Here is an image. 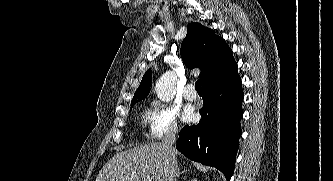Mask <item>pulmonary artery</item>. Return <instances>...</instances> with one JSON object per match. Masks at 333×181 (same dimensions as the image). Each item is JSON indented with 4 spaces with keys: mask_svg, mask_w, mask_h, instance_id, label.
I'll list each match as a JSON object with an SVG mask.
<instances>
[{
    "mask_svg": "<svg viewBox=\"0 0 333 181\" xmlns=\"http://www.w3.org/2000/svg\"><path fill=\"white\" fill-rule=\"evenodd\" d=\"M183 96L189 101H194L197 99V93L194 91L193 85L189 84L183 91Z\"/></svg>",
    "mask_w": 333,
    "mask_h": 181,
    "instance_id": "1",
    "label": "pulmonary artery"
}]
</instances>
